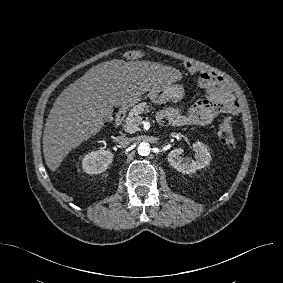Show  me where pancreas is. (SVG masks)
<instances>
[{
  "label": "pancreas",
  "mask_w": 283,
  "mask_h": 283,
  "mask_svg": "<svg viewBox=\"0 0 283 283\" xmlns=\"http://www.w3.org/2000/svg\"><path fill=\"white\" fill-rule=\"evenodd\" d=\"M149 105L146 102L135 105L129 112L128 117L123 124V128L127 133H134L139 130L141 124V116L143 112L149 111Z\"/></svg>",
  "instance_id": "cf45deb5"
}]
</instances>
